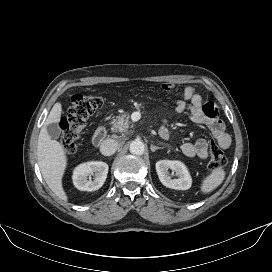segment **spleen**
<instances>
[{
    "label": "spleen",
    "mask_w": 272,
    "mask_h": 272,
    "mask_svg": "<svg viewBox=\"0 0 272 272\" xmlns=\"http://www.w3.org/2000/svg\"><path fill=\"white\" fill-rule=\"evenodd\" d=\"M225 171L222 167H216L212 172L203 180L201 185L202 193H209L217 188L225 178Z\"/></svg>",
    "instance_id": "obj_1"
}]
</instances>
